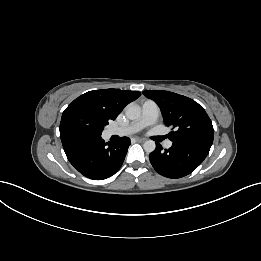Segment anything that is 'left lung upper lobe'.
Listing matches in <instances>:
<instances>
[{"instance_id":"1","label":"left lung upper lobe","mask_w":261,"mask_h":261,"mask_svg":"<svg viewBox=\"0 0 261 261\" xmlns=\"http://www.w3.org/2000/svg\"><path fill=\"white\" fill-rule=\"evenodd\" d=\"M143 94L158 104L165 125L175 128V131L169 133L172 142L211 147L214 137L212 122L197 102L169 91L147 90Z\"/></svg>"}]
</instances>
